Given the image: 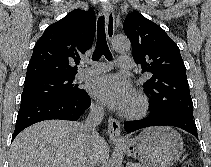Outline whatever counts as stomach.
<instances>
[{"label": "stomach", "mask_w": 211, "mask_h": 167, "mask_svg": "<svg viewBox=\"0 0 211 167\" xmlns=\"http://www.w3.org/2000/svg\"><path fill=\"white\" fill-rule=\"evenodd\" d=\"M144 167H171L183 153L181 136L170 127H150L122 145Z\"/></svg>", "instance_id": "1"}]
</instances>
